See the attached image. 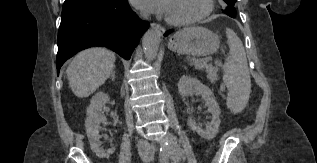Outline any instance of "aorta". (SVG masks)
<instances>
[{
    "label": "aorta",
    "mask_w": 317,
    "mask_h": 163,
    "mask_svg": "<svg viewBox=\"0 0 317 163\" xmlns=\"http://www.w3.org/2000/svg\"><path fill=\"white\" fill-rule=\"evenodd\" d=\"M160 41L161 33L158 29H150L143 35L142 46L149 59L153 60L157 57Z\"/></svg>",
    "instance_id": "obj_1"
}]
</instances>
